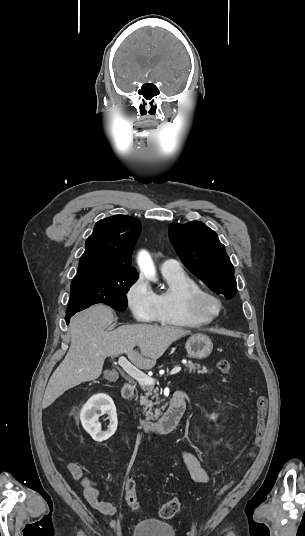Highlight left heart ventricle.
I'll return each instance as SVG.
<instances>
[{
  "label": "left heart ventricle",
  "mask_w": 305,
  "mask_h": 536,
  "mask_svg": "<svg viewBox=\"0 0 305 536\" xmlns=\"http://www.w3.org/2000/svg\"><path fill=\"white\" fill-rule=\"evenodd\" d=\"M218 302L217 301H214V300H210L208 301V310H207V313L210 314V315H213L217 312L218 310Z\"/></svg>",
  "instance_id": "1"
}]
</instances>
